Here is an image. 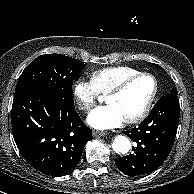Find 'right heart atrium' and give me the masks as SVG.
<instances>
[{"label":"right heart atrium","instance_id":"d8ad5b80","mask_svg":"<svg viewBox=\"0 0 194 194\" xmlns=\"http://www.w3.org/2000/svg\"><path fill=\"white\" fill-rule=\"evenodd\" d=\"M72 95L76 106L83 112H89L98 98L93 84L84 78L75 80L72 86Z\"/></svg>","mask_w":194,"mask_h":194}]
</instances>
